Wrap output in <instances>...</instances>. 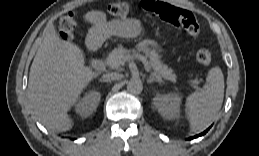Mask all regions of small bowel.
Segmentation results:
<instances>
[{
  "label": "small bowel",
  "instance_id": "small-bowel-1",
  "mask_svg": "<svg viewBox=\"0 0 259 156\" xmlns=\"http://www.w3.org/2000/svg\"><path fill=\"white\" fill-rule=\"evenodd\" d=\"M85 20L92 26L90 31V43L92 45L98 44L105 37H135L142 32V24L137 19L109 21L101 11L97 10L88 12L85 15Z\"/></svg>",
  "mask_w": 259,
  "mask_h": 156
}]
</instances>
